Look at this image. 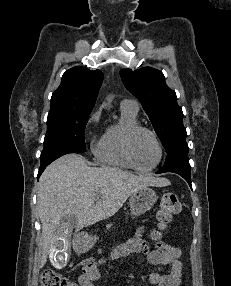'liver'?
Returning a JSON list of instances; mask_svg holds the SVG:
<instances>
[{"label": "liver", "mask_w": 231, "mask_h": 286, "mask_svg": "<svg viewBox=\"0 0 231 286\" xmlns=\"http://www.w3.org/2000/svg\"><path fill=\"white\" fill-rule=\"evenodd\" d=\"M168 185L170 182L165 178L136 176L112 167H90L79 154H67L57 159L39 180L37 209L43 246L40 266L46 264L57 240L60 221L66 215L77 217L78 231L113 216L137 190Z\"/></svg>", "instance_id": "obj_1"}]
</instances>
